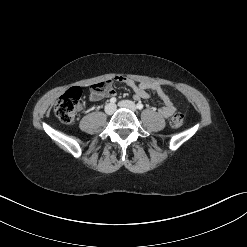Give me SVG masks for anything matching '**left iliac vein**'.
Returning <instances> with one entry per match:
<instances>
[{
    "label": "left iliac vein",
    "instance_id": "4c4485c4",
    "mask_svg": "<svg viewBox=\"0 0 247 247\" xmlns=\"http://www.w3.org/2000/svg\"><path fill=\"white\" fill-rule=\"evenodd\" d=\"M118 106L130 109L131 111H136V105L129 100H122L118 103Z\"/></svg>",
    "mask_w": 247,
    "mask_h": 247
}]
</instances>
